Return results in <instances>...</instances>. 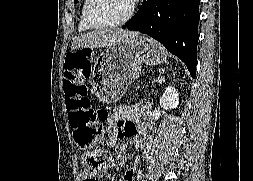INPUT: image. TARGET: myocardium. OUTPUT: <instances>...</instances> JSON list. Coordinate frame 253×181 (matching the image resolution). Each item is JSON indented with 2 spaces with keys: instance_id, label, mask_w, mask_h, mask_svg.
<instances>
[{
  "instance_id": "obj_1",
  "label": "myocardium",
  "mask_w": 253,
  "mask_h": 181,
  "mask_svg": "<svg viewBox=\"0 0 253 181\" xmlns=\"http://www.w3.org/2000/svg\"><path fill=\"white\" fill-rule=\"evenodd\" d=\"M95 2L96 0H88L85 7V12H84L86 23L93 29H111V28L120 27L126 24L127 22H129L135 14L136 4L135 2H132V6L129 12L121 20L116 21V22H111V23L99 22L93 17V14H92V10H93Z\"/></svg>"
}]
</instances>
